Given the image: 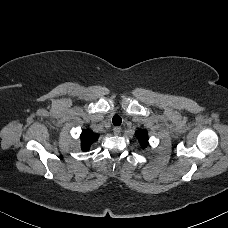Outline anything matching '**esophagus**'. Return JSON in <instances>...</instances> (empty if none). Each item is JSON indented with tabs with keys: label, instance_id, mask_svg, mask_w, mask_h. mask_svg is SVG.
Segmentation results:
<instances>
[{
	"label": "esophagus",
	"instance_id": "esophagus-1",
	"mask_svg": "<svg viewBox=\"0 0 228 228\" xmlns=\"http://www.w3.org/2000/svg\"><path fill=\"white\" fill-rule=\"evenodd\" d=\"M120 132H121V128L120 127H114L113 128L114 135H119Z\"/></svg>",
	"mask_w": 228,
	"mask_h": 228
}]
</instances>
